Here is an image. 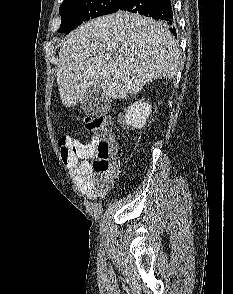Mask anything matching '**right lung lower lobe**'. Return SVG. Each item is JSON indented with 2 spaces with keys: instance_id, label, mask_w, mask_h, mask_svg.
Wrapping results in <instances>:
<instances>
[{
  "instance_id": "obj_1",
  "label": "right lung lower lobe",
  "mask_w": 233,
  "mask_h": 294,
  "mask_svg": "<svg viewBox=\"0 0 233 294\" xmlns=\"http://www.w3.org/2000/svg\"><path fill=\"white\" fill-rule=\"evenodd\" d=\"M119 10L159 19L176 35V21L170 0H125Z\"/></svg>"
}]
</instances>
